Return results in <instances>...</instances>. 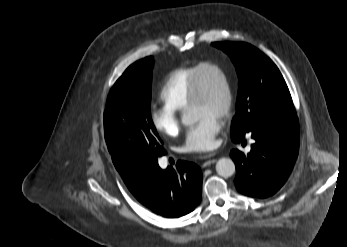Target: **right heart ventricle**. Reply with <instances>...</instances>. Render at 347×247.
Returning a JSON list of instances; mask_svg holds the SVG:
<instances>
[{
	"label": "right heart ventricle",
	"instance_id": "right-heart-ventricle-1",
	"mask_svg": "<svg viewBox=\"0 0 347 247\" xmlns=\"http://www.w3.org/2000/svg\"><path fill=\"white\" fill-rule=\"evenodd\" d=\"M197 66L198 64L181 67L167 75L159 92L164 106L176 112L187 109Z\"/></svg>",
	"mask_w": 347,
	"mask_h": 247
}]
</instances>
